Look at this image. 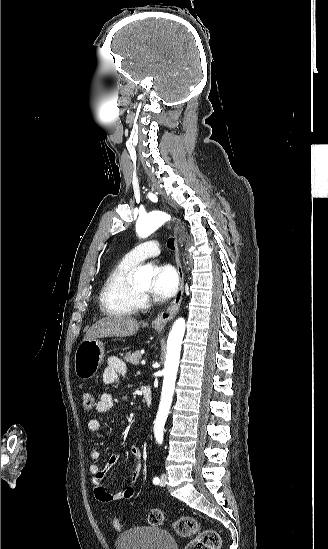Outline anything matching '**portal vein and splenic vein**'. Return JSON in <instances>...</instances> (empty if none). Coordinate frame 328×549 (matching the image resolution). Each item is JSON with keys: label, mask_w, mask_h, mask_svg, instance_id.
Returning a JSON list of instances; mask_svg holds the SVG:
<instances>
[{"label": "portal vein and splenic vein", "mask_w": 328, "mask_h": 549, "mask_svg": "<svg viewBox=\"0 0 328 549\" xmlns=\"http://www.w3.org/2000/svg\"><path fill=\"white\" fill-rule=\"evenodd\" d=\"M141 364H145V359H142Z\"/></svg>", "instance_id": "obj_1"}]
</instances>
